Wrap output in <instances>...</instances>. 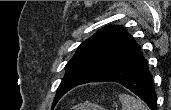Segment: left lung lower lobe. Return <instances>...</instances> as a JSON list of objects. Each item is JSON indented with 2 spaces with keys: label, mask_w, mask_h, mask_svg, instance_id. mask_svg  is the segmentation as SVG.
<instances>
[{
  "label": "left lung lower lobe",
  "mask_w": 171,
  "mask_h": 110,
  "mask_svg": "<svg viewBox=\"0 0 171 110\" xmlns=\"http://www.w3.org/2000/svg\"><path fill=\"white\" fill-rule=\"evenodd\" d=\"M90 82L119 83L139 96L151 110H155L157 107L153 78L140 48L128 59L98 75Z\"/></svg>",
  "instance_id": "1"
}]
</instances>
